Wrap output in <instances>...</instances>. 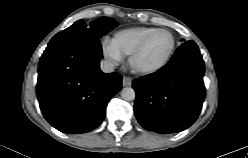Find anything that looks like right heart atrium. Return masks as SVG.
<instances>
[{
    "label": "right heart atrium",
    "mask_w": 248,
    "mask_h": 158,
    "mask_svg": "<svg viewBox=\"0 0 248 158\" xmlns=\"http://www.w3.org/2000/svg\"><path fill=\"white\" fill-rule=\"evenodd\" d=\"M101 51L104 58L112 65H118L123 61V55L118 51V49L109 39H104L102 41Z\"/></svg>",
    "instance_id": "1"
}]
</instances>
